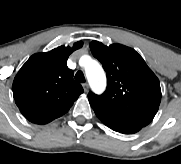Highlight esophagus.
<instances>
[{"label": "esophagus", "mask_w": 181, "mask_h": 164, "mask_svg": "<svg viewBox=\"0 0 181 164\" xmlns=\"http://www.w3.org/2000/svg\"><path fill=\"white\" fill-rule=\"evenodd\" d=\"M82 86H83L84 91L87 92L89 89V85L87 83H84Z\"/></svg>", "instance_id": "34e87169"}]
</instances>
